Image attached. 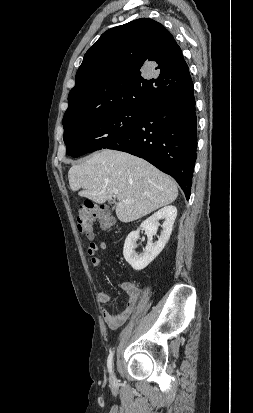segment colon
<instances>
[{
	"instance_id": "1",
	"label": "colon",
	"mask_w": 253,
	"mask_h": 413,
	"mask_svg": "<svg viewBox=\"0 0 253 413\" xmlns=\"http://www.w3.org/2000/svg\"><path fill=\"white\" fill-rule=\"evenodd\" d=\"M96 220L100 222L101 228L106 231L110 230L114 225V219L105 205L89 202L79 207L77 227L79 232L89 239L93 238L92 227Z\"/></svg>"
}]
</instances>
